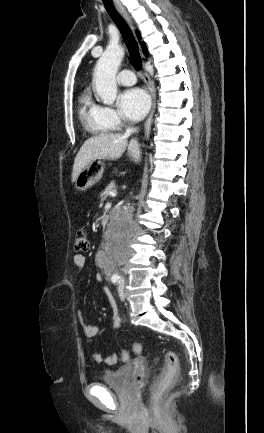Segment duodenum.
Listing matches in <instances>:
<instances>
[{"label":"duodenum","mask_w":264,"mask_h":433,"mask_svg":"<svg viewBox=\"0 0 264 433\" xmlns=\"http://www.w3.org/2000/svg\"><path fill=\"white\" fill-rule=\"evenodd\" d=\"M102 221H103V225H104V227H106V226L108 225V222H109L108 217H107V216H104L103 219H102ZM100 258H101V259L104 258V255H100ZM111 273H112V267H111V266H108V267L106 268V274H107L108 276H110Z\"/></svg>","instance_id":"1"}]
</instances>
